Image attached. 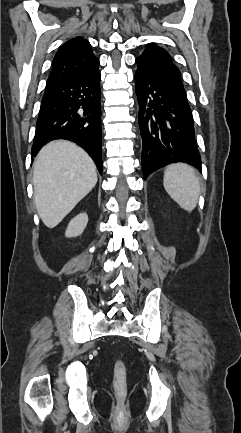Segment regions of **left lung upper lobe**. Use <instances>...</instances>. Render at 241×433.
<instances>
[{
  "label": "left lung upper lobe",
  "instance_id": "5c2ea615",
  "mask_svg": "<svg viewBox=\"0 0 241 433\" xmlns=\"http://www.w3.org/2000/svg\"><path fill=\"white\" fill-rule=\"evenodd\" d=\"M136 63L138 65L137 71L160 76L166 80L188 104L180 70L174 64L166 50L158 47L155 43H150L142 55L136 58Z\"/></svg>",
  "mask_w": 241,
  "mask_h": 433
}]
</instances>
